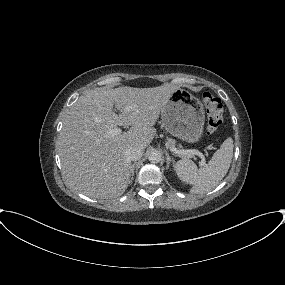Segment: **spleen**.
I'll use <instances>...</instances> for the list:
<instances>
[{
	"label": "spleen",
	"mask_w": 285,
	"mask_h": 285,
	"mask_svg": "<svg viewBox=\"0 0 285 285\" xmlns=\"http://www.w3.org/2000/svg\"><path fill=\"white\" fill-rule=\"evenodd\" d=\"M233 147V139L229 137L202 168L198 169L193 161L187 159L178 161L174 168L182 181L193 186L191 193H207L227 174L233 157Z\"/></svg>",
	"instance_id": "3e777b00"
}]
</instances>
